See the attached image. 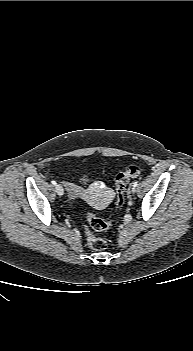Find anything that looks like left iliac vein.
<instances>
[{
  "mask_svg": "<svg viewBox=\"0 0 193 351\" xmlns=\"http://www.w3.org/2000/svg\"><path fill=\"white\" fill-rule=\"evenodd\" d=\"M136 192V187H132V193H135Z\"/></svg>",
  "mask_w": 193,
  "mask_h": 351,
  "instance_id": "left-iliac-vein-1",
  "label": "left iliac vein"
}]
</instances>
